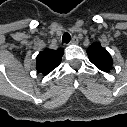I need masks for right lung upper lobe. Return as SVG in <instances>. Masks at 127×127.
Segmentation results:
<instances>
[{
    "label": "right lung upper lobe",
    "mask_w": 127,
    "mask_h": 127,
    "mask_svg": "<svg viewBox=\"0 0 127 127\" xmlns=\"http://www.w3.org/2000/svg\"><path fill=\"white\" fill-rule=\"evenodd\" d=\"M63 54L64 50L62 48L41 51L36 58V70L43 75H47L60 64Z\"/></svg>",
    "instance_id": "cb5924a9"
}]
</instances>
